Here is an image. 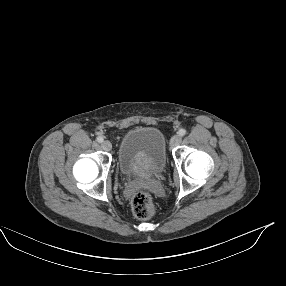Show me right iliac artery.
Masks as SVG:
<instances>
[{
	"instance_id": "right-iliac-artery-1",
	"label": "right iliac artery",
	"mask_w": 286,
	"mask_h": 286,
	"mask_svg": "<svg viewBox=\"0 0 286 286\" xmlns=\"http://www.w3.org/2000/svg\"><path fill=\"white\" fill-rule=\"evenodd\" d=\"M96 140H97L99 143H101V142H103V137L98 136V137L96 138Z\"/></svg>"
}]
</instances>
